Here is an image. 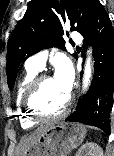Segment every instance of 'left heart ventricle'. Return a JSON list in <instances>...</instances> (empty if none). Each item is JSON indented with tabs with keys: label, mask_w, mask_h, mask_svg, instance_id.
Returning <instances> with one entry per match:
<instances>
[{
	"label": "left heart ventricle",
	"mask_w": 114,
	"mask_h": 156,
	"mask_svg": "<svg viewBox=\"0 0 114 156\" xmlns=\"http://www.w3.org/2000/svg\"><path fill=\"white\" fill-rule=\"evenodd\" d=\"M69 95L63 93L54 78L45 80L37 94L36 104L45 114H55L61 111Z\"/></svg>",
	"instance_id": "left-heart-ventricle-1"
}]
</instances>
